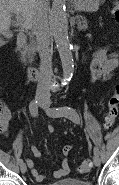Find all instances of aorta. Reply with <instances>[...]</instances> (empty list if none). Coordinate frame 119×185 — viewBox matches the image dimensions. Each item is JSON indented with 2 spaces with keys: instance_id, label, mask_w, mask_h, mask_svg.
Returning <instances> with one entry per match:
<instances>
[{
  "instance_id": "1",
  "label": "aorta",
  "mask_w": 119,
  "mask_h": 185,
  "mask_svg": "<svg viewBox=\"0 0 119 185\" xmlns=\"http://www.w3.org/2000/svg\"><path fill=\"white\" fill-rule=\"evenodd\" d=\"M51 31L60 55L64 83L70 81L74 72L73 56L68 38V21L65 0H53L50 13Z\"/></svg>"
}]
</instances>
